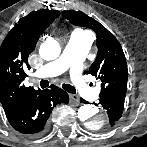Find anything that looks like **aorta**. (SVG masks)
<instances>
[{
    "label": "aorta",
    "instance_id": "aorta-1",
    "mask_svg": "<svg viewBox=\"0 0 147 147\" xmlns=\"http://www.w3.org/2000/svg\"><path fill=\"white\" fill-rule=\"evenodd\" d=\"M60 53L61 48L59 43L52 38L44 41L39 49L41 58L48 61L58 58ZM78 118L89 130L93 131L105 129L108 123L107 114L90 104L83 105L79 108Z\"/></svg>",
    "mask_w": 147,
    "mask_h": 147
}]
</instances>
